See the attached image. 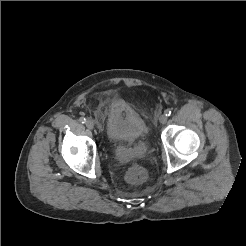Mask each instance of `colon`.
I'll return each instance as SVG.
<instances>
[{
	"instance_id": "colon-1",
	"label": "colon",
	"mask_w": 246,
	"mask_h": 246,
	"mask_svg": "<svg viewBox=\"0 0 246 246\" xmlns=\"http://www.w3.org/2000/svg\"><path fill=\"white\" fill-rule=\"evenodd\" d=\"M147 172L140 166L130 168L126 173V180L131 184H139L145 181Z\"/></svg>"
}]
</instances>
